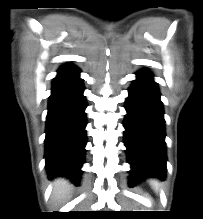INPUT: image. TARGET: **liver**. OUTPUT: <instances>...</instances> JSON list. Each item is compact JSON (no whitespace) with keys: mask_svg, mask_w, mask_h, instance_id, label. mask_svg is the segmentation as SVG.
Masks as SVG:
<instances>
[{"mask_svg":"<svg viewBox=\"0 0 203 219\" xmlns=\"http://www.w3.org/2000/svg\"><path fill=\"white\" fill-rule=\"evenodd\" d=\"M69 192L70 184L67 180L63 178H58L55 180L52 195L55 202H61L62 200H65L68 197Z\"/></svg>","mask_w":203,"mask_h":219,"instance_id":"6515ba94","label":"liver"}]
</instances>
